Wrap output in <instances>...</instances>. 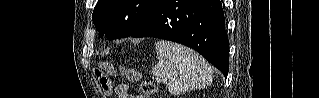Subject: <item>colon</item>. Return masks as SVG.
Returning a JSON list of instances; mask_svg holds the SVG:
<instances>
[{
    "mask_svg": "<svg viewBox=\"0 0 319 98\" xmlns=\"http://www.w3.org/2000/svg\"><path fill=\"white\" fill-rule=\"evenodd\" d=\"M106 69L108 72H112L113 66L109 63L106 64ZM96 75L99 78L100 84L103 87L105 91H108L109 89V79L108 77L104 74V72L101 69H96ZM126 76L131 78V79H138L139 74L137 72H127ZM156 91V85L153 81H143L140 85V93L143 96H149L153 94Z\"/></svg>",
    "mask_w": 319,
    "mask_h": 98,
    "instance_id": "5ec220e1",
    "label": "colon"
}]
</instances>
